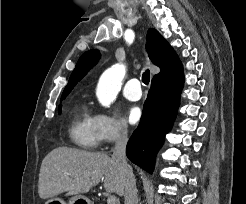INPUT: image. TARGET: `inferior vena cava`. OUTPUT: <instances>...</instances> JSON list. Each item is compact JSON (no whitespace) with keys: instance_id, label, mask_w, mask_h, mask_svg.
<instances>
[{"instance_id":"1","label":"inferior vena cava","mask_w":246,"mask_h":204,"mask_svg":"<svg viewBox=\"0 0 246 204\" xmlns=\"http://www.w3.org/2000/svg\"><path fill=\"white\" fill-rule=\"evenodd\" d=\"M128 138L125 130H120L115 142L112 158L118 161L125 173V204H138L136 180L131 166L126 160V144Z\"/></svg>"}]
</instances>
